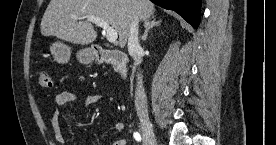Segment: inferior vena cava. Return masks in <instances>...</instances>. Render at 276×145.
I'll return each mask as SVG.
<instances>
[{"mask_svg": "<svg viewBox=\"0 0 276 145\" xmlns=\"http://www.w3.org/2000/svg\"><path fill=\"white\" fill-rule=\"evenodd\" d=\"M139 19L137 16L134 17L129 29L128 35V52L134 59V65L137 66L142 62L141 46L139 44V31H138ZM135 107L139 116L147 115L148 105L147 96L143 87V77L141 74L137 75V85L135 90Z\"/></svg>", "mask_w": 276, "mask_h": 145, "instance_id": "602c4592", "label": "inferior vena cava"}]
</instances>
